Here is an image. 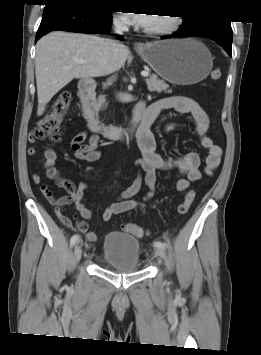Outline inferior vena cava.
<instances>
[{
	"label": "inferior vena cava",
	"mask_w": 261,
	"mask_h": 355,
	"mask_svg": "<svg viewBox=\"0 0 261 355\" xmlns=\"http://www.w3.org/2000/svg\"><path fill=\"white\" fill-rule=\"evenodd\" d=\"M113 24H114V31L117 34L121 35L124 32L128 31V26L123 19L116 17L113 19ZM108 45L113 52H117L121 44H119L117 41L109 40Z\"/></svg>",
	"instance_id": "1"
}]
</instances>
